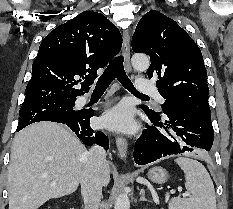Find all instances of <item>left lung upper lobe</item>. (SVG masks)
Instances as JSON below:
<instances>
[{
    "label": "left lung upper lobe",
    "instance_id": "1",
    "mask_svg": "<svg viewBox=\"0 0 233 209\" xmlns=\"http://www.w3.org/2000/svg\"><path fill=\"white\" fill-rule=\"evenodd\" d=\"M132 49L150 56L147 75L158 79L156 86L165 99L162 111L166 115L187 112L211 121L201 51L177 22L159 11L147 12L137 24ZM141 108L160 118L159 112Z\"/></svg>",
    "mask_w": 233,
    "mask_h": 209
}]
</instances>
